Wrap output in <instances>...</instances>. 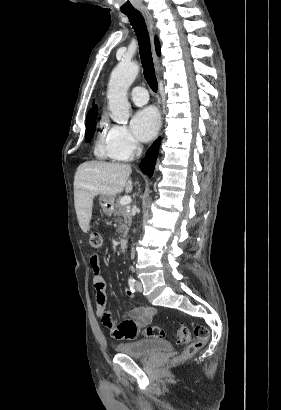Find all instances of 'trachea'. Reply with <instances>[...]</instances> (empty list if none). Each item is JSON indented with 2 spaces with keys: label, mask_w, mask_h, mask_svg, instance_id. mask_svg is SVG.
Instances as JSON below:
<instances>
[{
  "label": "trachea",
  "mask_w": 281,
  "mask_h": 410,
  "mask_svg": "<svg viewBox=\"0 0 281 410\" xmlns=\"http://www.w3.org/2000/svg\"><path fill=\"white\" fill-rule=\"evenodd\" d=\"M125 15L129 18L137 36L145 80L150 88L154 92H157L158 82L154 70L149 33L144 18L139 11L128 12L125 13Z\"/></svg>",
  "instance_id": "1"
}]
</instances>
